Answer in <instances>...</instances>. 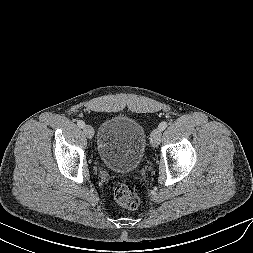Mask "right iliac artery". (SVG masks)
<instances>
[{"instance_id":"82829eb1","label":"right iliac artery","mask_w":253,"mask_h":253,"mask_svg":"<svg viewBox=\"0 0 253 253\" xmlns=\"http://www.w3.org/2000/svg\"><path fill=\"white\" fill-rule=\"evenodd\" d=\"M77 125H78L80 128H83V127L85 126V122L82 121V120H79V121L77 122Z\"/></svg>"}]
</instances>
